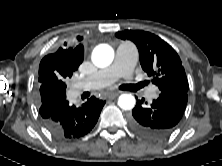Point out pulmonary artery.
Wrapping results in <instances>:
<instances>
[{"mask_svg": "<svg viewBox=\"0 0 222 166\" xmlns=\"http://www.w3.org/2000/svg\"><path fill=\"white\" fill-rule=\"evenodd\" d=\"M137 56V51L134 46L129 43L120 44L117 48L113 64L110 67L102 69L96 74L85 78L76 87L75 92L79 93L84 89L103 88L111 85L121 77L131 81L132 71L136 64ZM146 96L149 99H154L156 97V88L150 86Z\"/></svg>", "mask_w": 222, "mask_h": 166, "instance_id": "obj_1", "label": "pulmonary artery"}]
</instances>
